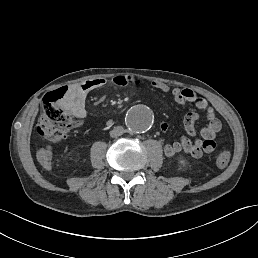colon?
I'll use <instances>...</instances> for the list:
<instances>
[{
    "mask_svg": "<svg viewBox=\"0 0 258 258\" xmlns=\"http://www.w3.org/2000/svg\"><path fill=\"white\" fill-rule=\"evenodd\" d=\"M68 93V87H61L47 93L44 97L42 112L36 127L41 137L58 142L80 124L62 107V102ZM230 157L229 151H223L216 156L215 163L223 168L229 163Z\"/></svg>",
    "mask_w": 258,
    "mask_h": 258,
    "instance_id": "5ec220e1",
    "label": "colon"
}]
</instances>
